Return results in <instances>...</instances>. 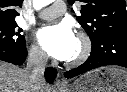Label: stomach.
<instances>
[{
  "label": "stomach",
  "instance_id": "stomach-1",
  "mask_svg": "<svg viewBox=\"0 0 127 92\" xmlns=\"http://www.w3.org/2000/svg\"><path fill=\"white\" fill-rule=\"evenodd\" d=\"M59 92H127V71L114 66L101 67L80 76Z\"/></svg>",
  "mask_w": 127,
  "mask_h": 92
}]
</instances>
